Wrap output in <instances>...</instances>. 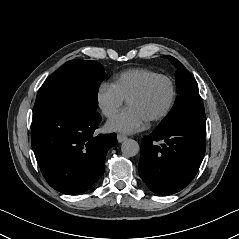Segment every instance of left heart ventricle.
Listing matches in <instances>:
<instances>
[{
  "label": "left heart ventricle",
  "mask_w": 239,
  "mask_h": 239,
  "mask_svg": "<svg viewBox=\"0 0 239 239\" xmlns=\"http://www.w3.org/2000/svg\"><path fill=\"white\" fill-rule=\"evenodd\" d=\"M169 98V86L165 81H157L140 98L128 103L129 107L136 109L144 118L156 114L164 108Z\"/></svg>",
  "instance_id": "left-heart-ventricle-1"
}]
</instances>
